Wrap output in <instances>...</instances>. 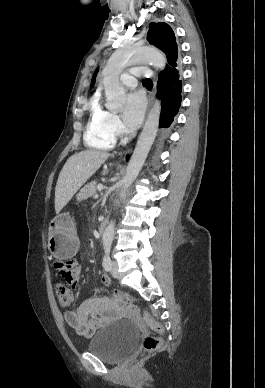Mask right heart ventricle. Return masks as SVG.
Segmentation results:
<instances>
[{"label": "right heart ventricle", "mask_w": 265, "mask_h": 388, "mask_svg": "<svg viewBox=\"0 0 265 388\" xmlns=\"http://www.w3.org/2000/svg\"><path fill=\"white\" fill-rule=\"evenodd\" d=\"M109 112L104 110L100 96L95 95L90 104V118L85 132L88 144L99 149H111L115 145V136L107 129Z\"/></svg>", "instance_id": "obj_1"}]
</instances>
